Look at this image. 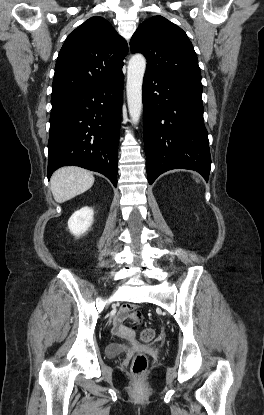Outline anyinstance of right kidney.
I'll use <instances>...</instances> for the list:
<instances>
[{
  "mask_svg": "<svg viewBox=\"0 0 264 415\" xmlns=\"http://www.w3.org/2000/svg\"><path fill=\"white\" fill-rule=\"evenodd\" d=\"M94 211L92 208L83 207L72 214L68 220V228L75 236L84 234L93 223Z\"/></svg>",
  "mask_w": 264,
  "mask_h": 415,
  "instance_id": "right-kidney-1",
  "label": "right kidney"
}]
</instances>
